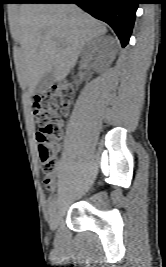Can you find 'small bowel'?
<instances>
[{
	"label": "small bowel",
	"mask_w": 166,
	"mask_h": 267,
	"mask_svg": "<svg viewBox=\"0 0 166 267\" xmlns=\"http://www.w3.org/2000/svg\"><path fill=\"white\" fill-rule=\"evenodd\" d=\"M44 183L49 191H54L56 186L55 176H52L48 180L44 179Z\"/></svg>",
	"instance_id": "c3829d8e"
}]
</instances>
